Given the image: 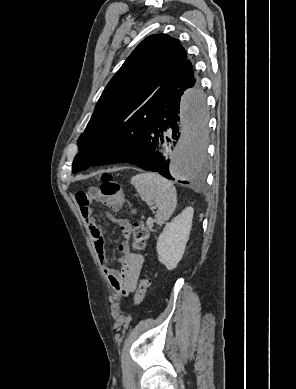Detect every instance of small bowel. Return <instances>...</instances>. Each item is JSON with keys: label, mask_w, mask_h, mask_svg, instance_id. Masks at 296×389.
Returning <instances> with one entry per match:
<instances>
[{"label": "small bowel", "mask_w": 296, "mask_h": 389, "mask_svg": "<svg viewBox=\"0 0 296 389\" xmlns=\"http://www.w3.org/2000/svg\"><path fill=\"white\" fill-rule=\"evenodd\" d=\"M76 200L79 205L81 216L90 230L99 261L111 287L118 295L122 297L128 296L134 292L144 265L143 256L132 252L130 249L128 241L131 235L130 222L126 219L117 218L113 214H108L109 220L119 225L121 234L124 238L118 247L120 252L118 261L121 264V269L116 270L111 266L107 256L106 241L104 238L105 228L97 223L92 213V203L101 200L98 193L94 190L90 192H80L76 195ZM120 207L121 203L115 207H111V209L117 211Z\"/></svg>", "instance_id": "small-bowel-1"}]
</instances>
